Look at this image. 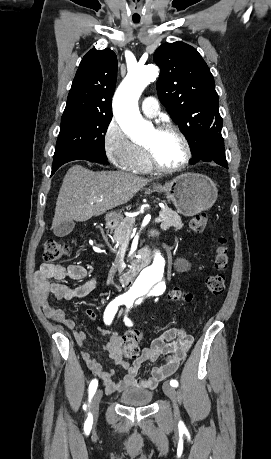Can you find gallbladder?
<instances>
[{
    "mask_svg": "<svg viewBox=\"0 0 271 459\" xmlns=\"http://www.w3.org/2000/svg\"><path fill=\"white\" fill-rule=\"evenodd\" d=\"M75 228V224L73 220H67V222H61L58 226L53 228L55 235H59V237H63V235H68L72 229Z\"/></svg>",
    "mask_w": 271,
    "mask_h": 459,
    "instance_id": "obj_1",
    "label": "gallbladder"
}]
</instances>
